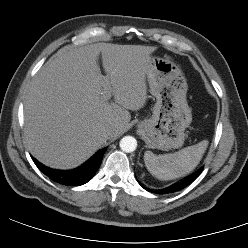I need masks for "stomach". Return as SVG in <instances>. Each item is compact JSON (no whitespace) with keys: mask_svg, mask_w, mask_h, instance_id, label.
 Listing matches in <instances>:
<instances>
[{"mask_svg":"<svg viewBox=\"0 0 248 248\" xmlns=\"http://www.w3.org/2000/svg\"><path fill=\"white\" fill-rule=\"evenodd\" d=\"M147 78L151 94L156 98L152 117L138 123L148 138L149 147L169 150L184 143L185 129L192 121L186 100L187 82L172 61L151 57Z\"/></svg>","mask_w":248,"mask_h":248,"instance_id":"obj_1","label":"stomach"}]
</instances>
